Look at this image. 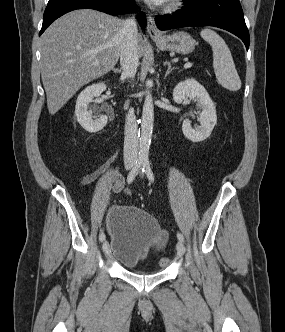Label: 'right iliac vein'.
I'll return each instance as SVG.
<instances>
[{"label": "right iliac vein", "instance_id": "obj_1", "mask_svg": "<svg viewBox=\"0 0 285 332\" xmlns=\"http://www.w3.org/2000/svg\"><path fill=\"white\" fill-rule=\"evenodd\" d=\"M130 168H131V165H128L127 169H130ZM102 249H103L104 253L108 254V252H109V244H108L107 241H104Z\"/></svg>", "mask_w": 285, "mask_h": 332}]
</instances>
